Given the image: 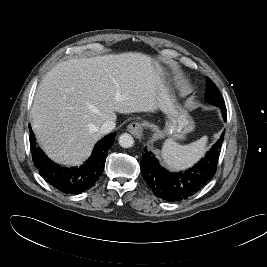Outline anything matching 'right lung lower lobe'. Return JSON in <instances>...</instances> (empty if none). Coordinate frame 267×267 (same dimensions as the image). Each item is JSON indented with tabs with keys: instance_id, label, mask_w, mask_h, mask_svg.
Listing matches in <instances>:
<instances>
[{
	"instance_id": "98d812e1",
	"label": "right lung lower lobe",
	"mask_w": 267,
	"mask_h": 267,
	"mask_svg": "<svg viewBox=\"0 0 267 267\" xmlns=\"http://www.w3.org/2000/svg\"><path fill=\"white\" fill-rule=\"evenodd\" d=\"M31 130V127L29 128ZM116 133H112L95 146L91 157L80 167H62L53 163L36 146L31 131V152L33 162L41 176L54 188L68 194H78L94 186L101 176L109 148L112 146Z\"/></svg>"
}]
</instances>
